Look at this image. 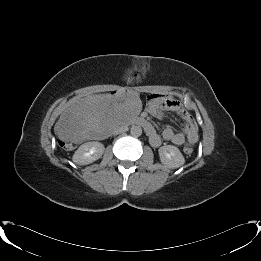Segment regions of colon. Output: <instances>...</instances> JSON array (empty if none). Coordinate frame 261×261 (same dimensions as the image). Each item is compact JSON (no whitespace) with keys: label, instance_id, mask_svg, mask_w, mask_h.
<instances>
[{"label":"colon","instance_id":"5ec220e1","mask_svg":"<svg viewBox=\"0 0 261 261\" xmlns=\"http://www.w3.org/2000/svg\"><path fill=\"white\" fill-rule=\"evenodd\" d=\"M63 143V142H61ZM72 144L71 143H65L64 147L65 148H68L69 146H71ZM184 152L187 154V155H190L193 153V148L191 146H185L184 147Z\"/></svg>","mask_w":261,"mask_h":261}]
</instances>
